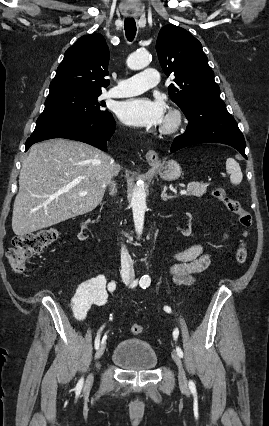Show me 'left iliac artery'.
Segmentation results:
<instances>
[{
    "label": "left iliac artery",
    "mask_w": 269,
    "mask_h": 426,
    "mask_svg": "<svg viewBox=\"0 0 269 426\" xmlns=\"http://www.w3.org/2000/svg\"><path fill=\"white\" fill-rule=\"evenodd\" d=\"M150 282H151L150 277H149L148 275H144V276H142V278L140 279L139 284H140V286H141L143 289H146V287H148V286L150 285ZM164 311H166L167 313H170V312H171V308H170L169 306H164ZM178 335H179V331H178V329L176 328V329H174V331H173V338H174V340H177ZM176 352H177V354L179 355V357H183V352H182V350H181V348H180V347H176ZM189 388H190V390H191L192 392H196L195 384H194V382H193V381H191V380L189 381Z\"/></svg>",
    "instance_id": "left-iliac-artery-1"
}]
</instances>
